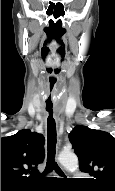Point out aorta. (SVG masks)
<instances>
[{
	"label": "aorta",
	"mask_w": 115,
	"mask_h": 191,
	"mask_svg": "<svg viewBox=\"0 0 115 191\" xmlns=\"http://www.w3.org/2000/svg\"><path fill=\"white\" fill-rule=\"evenodd\" d=\"M59 161L68 171L73 172L78 168V158L72 152H62Z\"/></svg>",
	"instance_id": "762f6f07"
}]
</instances>
